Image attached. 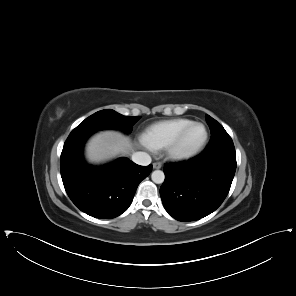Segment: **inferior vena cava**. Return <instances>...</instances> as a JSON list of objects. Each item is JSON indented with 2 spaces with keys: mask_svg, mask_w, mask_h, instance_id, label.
<instances>
[{
  "mask_svg": "<svg viewBox=\"0 0 296 296\" xmlns=\"http://www.w3.org/2000/svg\"><path fill=\"white\" fill-rule=\"evenodd\" d=\"M132 161L138 165L147 166L151 163V157L146 152H135L132 154Z\"/></svg>",
  "mask_w": 296,
  "mask_h": 296,
  "instance_id": "602c4592",
  "label": "inferior vena cava"
}]
</instances>
